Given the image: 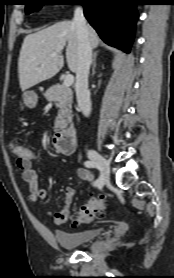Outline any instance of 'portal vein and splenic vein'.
Returning <instances> with one entry per match:
<instances>
[{
  "label": "portal vein and splenic vein",
  "mask_w": 174,
  "mask_h": 278,
  "mask_svg": "<svg viewBox=\"0 0 174 278\" xmlns=\"http://www.w3.org/2000/svg\"><path fill=\"white\" fill-rule=\"evenodd\" d=\"M55 55H56L55 53L52 54V56H55ZM73 82H74V77H73V75L68 74V75H66L65 78H64L63 85H64L65 87H70V86L73 84Z\"/></svg>",
  "instance_id": "1"
}]
</instances>
